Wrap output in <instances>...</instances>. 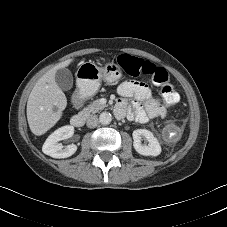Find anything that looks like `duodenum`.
Wrapping results in <instances>:
<instances>
[{
    "label": "duodenum",
    "mask_w": 227,
    "mask_h": 227,
    "mask_svg": "<svg viewBox=\"0 0 227 227\" xmlns=\"http://www.w3.org/2000/svg\"><path fill=\"white\" fill-rule=\"evenodd\" d=\"M87 87L86 81H80L77 84L76 90L74 92L72 98V105L75 108H80L84 103V94ZM71 124L76 128H82L85 124V116L84 114H75L71 117Z\"/></svg>",
    "instance_id": "410a0bca"
}]
</instances>
